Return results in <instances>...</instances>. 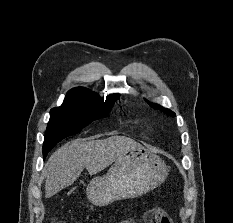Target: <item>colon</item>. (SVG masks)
Wrapping results in <instances>:
<instances>
[{
	"label": "colon",
	"mask_w": 233,
	"mask_h": 223,
	"mask_svg": "<svg viewBox=\"0 0 233 223\" xmlns=\"http://www.w3.org/2000/svg\"><path fill=\"white\" fill-rule=\"evenodd\" d=\"M150 214L152 223H173L172 218L161 209H154Z\"/></svg>",
	"instance_id": "colon-1"
}]
</instances>
